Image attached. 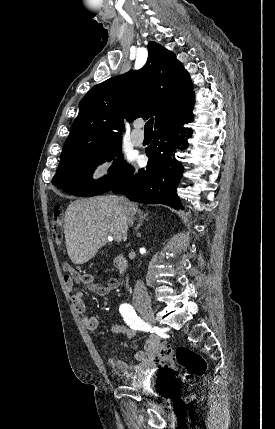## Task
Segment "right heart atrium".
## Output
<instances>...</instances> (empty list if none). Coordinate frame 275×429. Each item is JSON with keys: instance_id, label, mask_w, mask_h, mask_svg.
<instances>
[{"instance_id": "right-heart-atrium-1", "label": "right heart atrium", "mask_w": 275, "mask_h": 429, "mask_svg": "<svg viewBox=\"0 0 275 429\" xmlns=\"http://www.w3.org/2000/svg\"><path fill=\"white\" fill-rule=\"evenodd\" d=\"M114 165V159L109 154H103L98 157L93 164L92 177L95 180H101L107 177Z\"/></svg>"}]
</instances>
